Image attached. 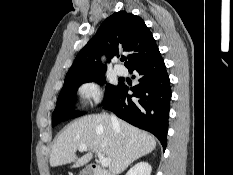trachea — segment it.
<instances>
[{"instance_id": "trachea-1", "label": "trachea", "mask_w": 233, "mask_h": 175, "mask_svg": "<svg viewBox=\"0 0 233 175\" xmlns=\"http://www.w3.org/2000/svg\"><path fill=\"white\" fill-rule=\"evenodd\" d=\"M126 60V58H122V61Z\"/></svg>"}]
</instances>
